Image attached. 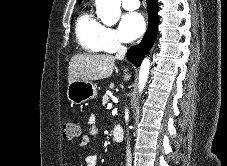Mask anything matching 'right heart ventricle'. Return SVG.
I'll return each instance as SVG.
<instances>
[{"label": "right heart ventricle", "instance_id": "e07e8e85", "mask_svg": "<svg viewBox=\"0 0 227 166\" xmlns=\"http://www.w3.org/2000/svg\"><path fill=\"white\" fill-rule=\"evenodd\" d=\"M105 26L94 16L91 10H83L75 25L76 40L88 53L104 51L103 34Z\"/></svg>", "mask_w": 227, "mask_h": 166}]
</instances>
